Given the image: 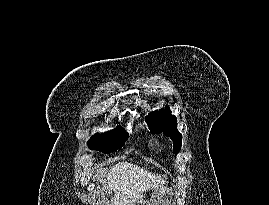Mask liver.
<instances>
[{
	"instance_id": "liver-1",
	"label": "liver",
	"mask_w": 269,
	"mask_h": 205,
	"mask_svg": "<svg viewBox=\"0 0 269 205\" xmlns=\"http://www.w3.org/2000/svg\"><path fill=\"white\" fill-rule=\"evenodd\" d=\"M109 192L114 191L111 205H136L143 202V193L150 188L162 187L163 180L136 164L118 162L106 175Z\"/></svg>"
}]
</instances>
